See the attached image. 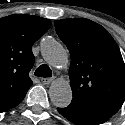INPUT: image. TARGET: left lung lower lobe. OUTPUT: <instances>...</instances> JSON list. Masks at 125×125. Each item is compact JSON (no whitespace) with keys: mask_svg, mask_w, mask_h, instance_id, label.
<instances>
[{"mask_svg":"<svg viewBox=\"0 0 125 125\" xmlns=\"http://www.w3.org/2000/svg\"><path fill=\"white\" fill-rule=\"evenodd\" d=\"M58 112L77 125H99L106 122L119 109L115 107L57 108Z\"/></svg>","mask_w":125,"mask_h":125,"instance_id":"0a47b994","label":"left lung lower lobe"}]
</instances>
